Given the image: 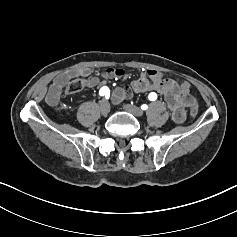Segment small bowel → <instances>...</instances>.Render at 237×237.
Wrapping results in <instances>:
<instances>
[{"label":"small bowel","instance_id":"1","mask_svg":"<svg viewBox=\"0 0 237 237\" xmlns=\"http://www.w3.org/2000/svg\"><path fill=\"white\" fill-rule=\"evenodd\" d=\"M90 69L81 67L70 70L58 75L51 83L46 94V101L52 106L59 103L62 89L67 83L75 77H88ZM125 74L121 68H108L100 77L92 76L86 80L88 88L105 87L108 80L118 79ZM134 92H159L164 96L165 102L171 112L172 119L176 123H182L186 118V108L195 103V98L190 95V83L187 81H174L164 79L162 74L155 70H148L141 73L130 88H116L113 92L112 99L114 103H120L130 93Z\"/></svg>","mask_w":237,"mask_h":237}]
</instances>
